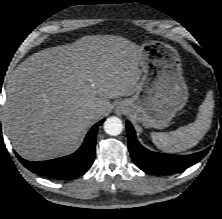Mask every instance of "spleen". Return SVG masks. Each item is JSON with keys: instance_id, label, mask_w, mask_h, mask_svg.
I'll use <instances>...</instances> for the list:
<instances>
[{"instance_id": "obj_1", "label": "spleen", "mask_w": 222, "mask_h": 219, "mask_svg": "<svg viewBox=\"0 0 222 219\" xmlns=\"http://www.w3.org/2000/svg\"><path fill=\"white\" fill-rule=\"evenodd\" d=\"M214 109L213 93L209 91L199 107V113L193 123L179 127L168 133L152 132L153 143L162 151L177 153L192 148L204 137L211 126Z\"/></svg>"}]
</instances>
